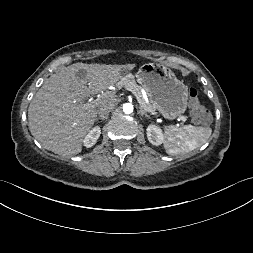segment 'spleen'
Here are the masks:
<instances>
[{
	"instance_id": "1",
	"label": "spleen",
	"mask_w": 253,
	"mask_h": 253,
	"mask_svg": "<svg viewBox=\"0 0 253 253\" xmlns=\"http://www.w3.org/2000/svg\"><path fill=\"white\" fill-rule=\"evenodd\" d=\"M164 147L171 155L188 153L206 143L211 136L212 130L209 127H196L185 125L176 127L165 126Z\"/></svg>"
}]
</instances>
